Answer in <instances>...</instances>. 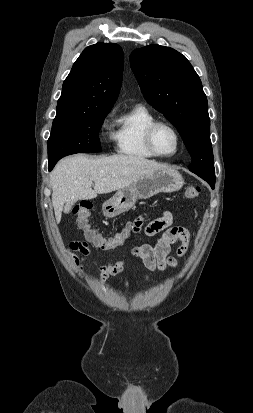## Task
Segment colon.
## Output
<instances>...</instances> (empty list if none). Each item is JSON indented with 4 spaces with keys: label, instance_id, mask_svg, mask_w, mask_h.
Instances as JSON below:
<instances>
[{
    "label": "colon",
    "instance_id": "1",
    "mask_svg": "<svg viewBox=\"0 0 253 413\" xmlns=\"http://www.w3.org/2000/svg\"><path fill=\"white\" fill-rule=\"evenodd\" d=\"M201 194V187L191 185L186 190V197L198 199ZM92 205L89 202L80 203L73 209L77 224L84 230L88 242L103 251H110L122 246L132 232V227H126L111 237H104L90 223Z\"/></svg>",
    "mask_w": 253,
    "mask_h": 413
}]
</instances>
